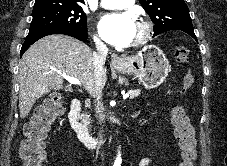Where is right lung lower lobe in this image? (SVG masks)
<instances>
[{
	"label": "right lung lower lobe",
	"mask_w": 227,
	"mask_h": 166,
	"mask_svg": "<svg viewBox=\"0 0 227 166\" xmlns=\"http://www.w3.org/2000/svg\"><path fill=\"white\" fill-rule=\"evenodd\" d=\"M52 34H64V35L75 37L81 41H86V39H87V32L75 31V30H70V29L45 30L36 35L27 36L24 44L22 45L21 51H20L21 56L30 47V45L35 43L37 40H39L40 38H42L44 36L52 35Z\"/></svg>",
	"instance_id": "right-lung-lower-lobe-1"
}]
</instances>
